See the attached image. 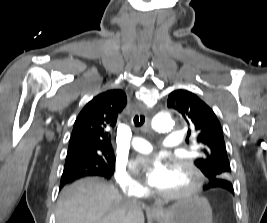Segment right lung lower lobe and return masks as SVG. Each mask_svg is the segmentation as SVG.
I'll list each match as a JSON object with an SVG mask.
<instances>
[{
    "label": "right lung lower lobe",
    "instance_id": "right-lung-lower-lobe-1",
    "mask_svg": "<svg viewBox=\"0 0 267 223\" xmlns=\"http://www.w3.org/2000/svg\"><path fill=\"white\" fill-rule=\"evenodd\" d=\"M85 176H101V175H97V174H88L82 171H73V172H64L63 171V175L61 178V182H60V189L67 183L74 181L76 179L85 177Z\"/></svg>",
    "mask_w": 267,
    "mask_h": 223
}]
</instances>
